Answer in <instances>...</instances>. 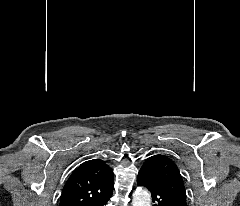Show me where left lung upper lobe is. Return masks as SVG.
Masks as SVG:
<instances>
[{"instance_id": "5c2ea615", "label": "left lung upper lobe", "mask_w": 240, "mask_h": 206, "mask_svg": "<svg viewBox=\"0 0 240 206\" xmlns=\"http://www.w3.org/2000/svg\"><path fill=\"white\" fill-rule=\"evenodd\" d=\"M143 166H147L157 182L180 206H187L186 192L182 176L176 164L165 155L149 157Z\"/></svg>"}]
</instances>
